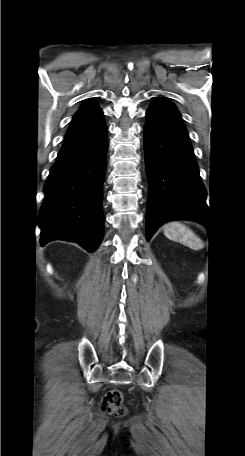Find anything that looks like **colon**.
Returning <instances> with one entry per match:
<instances>
[{"label": "colon", "instance_id": "colon-1", "mask_svg": "<svg viewBox=\"0 0 245 456\" xmlns=\"http://www.w3.org/2000/svg\"><path fill=\"white\" fill-rule=\"evenodd\" d=\"M101 411L105 414L124 415L126 409L123 405V394L118 389L108 391L102 398Z\"/></svg>", "mask_w": 245, "mask_h": 456}]
</instances>
